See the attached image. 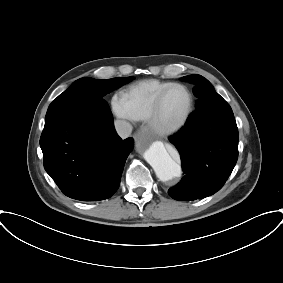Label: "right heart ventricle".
I'll return each instance as SVG.
<instances>
[{
	"instance_id": "right-heart-ventricle-1",
	"label": "right heart ventricle",
	"mask_w": 283,
	"mask_h": 283,
	"mask_svg": "<svg viewBox=\"0 0 283 283\" xmlns=\"http://www.w3.org/2000/svg\"><path fill=\"white\" fill-rule=\"evenodd\" d=\"M172 83L158 79L143 80L123 91L120 97L134 120L146 121L158 94Z\"/></svg>"
}]
</instances>
